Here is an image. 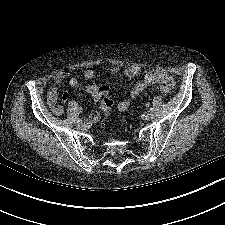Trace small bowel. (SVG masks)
<instances>
[{
  "mask_svg": "<svg viewBox=\"0 0 225 225\" xmlns=\"http://www.w3.org/2000/svg\"><path fill=\"white\" fill-rule=\"evenodd\" d=\"M108 72L112 75L119 73L118 67H111ZM124 74L127 78L133 79L141 74V69L139 67H129L126 68ZM83 78L86 80L95 79L98 73L93 68H88L83 72ZM68 82L69 86L74 89L82 88L86 93L90 94L94 101H100V111H95L90 116V121L95 123L101 117V112H104L102 102L106 99L109 93V87L107 85H98L97 83H91L85 87H82L78 77L71 76L69 69H62L58 72L54 78V85H52L47 92V103L51 107L53 113L56 115H61L63 112L62 106L57 104L59 91L58 85ZM154 84H165L173 88L175 86V81L173 77L163 70H153L148 72L143 79L138 81L130 90L129 95L121 100L117 104L119 111H126L131 106L132 102L149 86ZM69 98V93L64 92L62 94V100L66 101Z\"/></svg>",
  "mask_w": 225,
  "mask_h": 225,
  "instance_id": "1",
  "label": "small bowel"
}]
</instances>
